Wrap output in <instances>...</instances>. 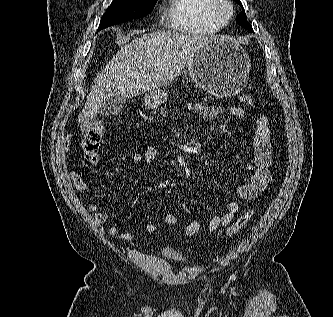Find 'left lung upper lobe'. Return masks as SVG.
Instances as JSON below:
<instances>
[{"instance_id":"obj_1","label":"left lung upper lobe","mask_w":333,"mask_h":317,"mask_svg":"<svg viewBox=\"0 0 333 317\" xmlns=\"http://www.w3.org/2000/svg\"><path fill=\"white\" fill-rule=\"evenodd\" d=\"M238 4L241 5V1L240 0H235ZM237 23L241 26H243L244 28L253 31L251 24H249V22L247 21V17L245 14V11L241 12L239 14V16L236 19Z\"/></svg>"}]
</instances>
